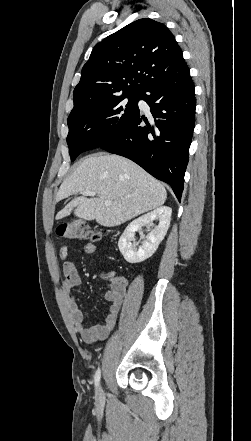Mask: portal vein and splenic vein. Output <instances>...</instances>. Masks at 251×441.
Instances as JSON below:
<instances>
[{
	"mask_svg": "<svg viewBox=\"0 0 251 441\" xmlns=\"http://www.w3.org/2000/svg\"><path fill=\"white\" fill-rule=\"evenodd\" d=\"M81 194L83 195V196H95L96 195V192H94V191H83V192H81ZM112 202L111 201H109V200H106L105 201V205H110Z\"/></svg>",
	"mask_w": 251,
	"mask_h": 441,
	"instance_id": "1",
	"label": "portal vein and splenic vein"
}]
</instances>
